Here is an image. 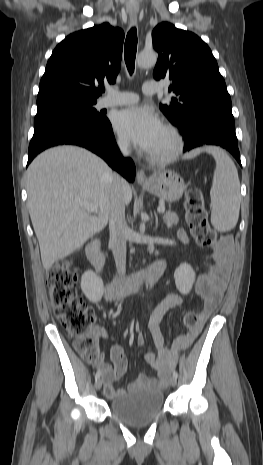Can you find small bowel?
I'll return each instance as SVG.
<instances>
[{"mask_svg":"<svg viewBox=\"0 0 263 465\" xmlns=\"http://www.w3.org/2000/svg\"><path fill=\"white\" fill-rule=\"evenodd\" d=\"M178 236L182 242L186 243L188 241V236L185 231L180 230ZM214 260L215 263L207 272L200 274L195 283V292L197 296L204 300L202 321H205L220 303L230 278L231 262L227 243L214 253ZM106 299L112 301L114 298L106 295ZM184 303L185 298L183 296L169 294L156 305L150 316L149 330L157 347V354L149 351L145 354L144 358L147 364L157 371V377L151 378L145 374H141L127 389H116L114 387V382L125 374L127 369V358L121 346L117 344L112 345L110 357L113 366L104 362L99 366V371L102 373L104 380V392L108 398L117 397L125 391L132 390L136 387L162 389L166 386L168 376L171 370L176 366L180 351L189 347L198 334L204 333V327H206V322H201L197 329L190 331L188 334L179 336L170 349L164 346V338L160 329V323L169 310L179 307ZM101 334L104 335V332L101 331ZM144 343V336L139 334L137 337V344L142 346Z\"/></svg>","mask_w":263,"mask_h":465,"instance_id":"c3829d8e","label":"small bowel"}]
</instances>
